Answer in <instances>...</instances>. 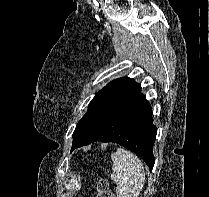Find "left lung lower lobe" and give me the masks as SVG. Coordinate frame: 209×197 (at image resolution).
Masks as SVG:
<instances>
[{
	"label": "left lung lower lobe",
	"instance_id": "1",
	"mask_svg": "<svg viewBox=\"0 0 209 197\" xmlns=\"http://www.w3.org/2000/svg\"><path fill=\"white\" fill-rule=\"evenodd\" d=\"M140 90V84H136L117 98L72 145L71 151L96 141L114 142L139 155L152 170L157 128L152 123L151 106Z\"/></svg>",
	"mask_w": 209,
	"mask_h": 197
}]
</instances>
